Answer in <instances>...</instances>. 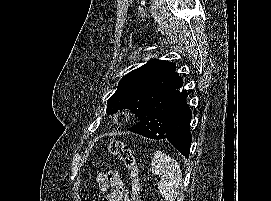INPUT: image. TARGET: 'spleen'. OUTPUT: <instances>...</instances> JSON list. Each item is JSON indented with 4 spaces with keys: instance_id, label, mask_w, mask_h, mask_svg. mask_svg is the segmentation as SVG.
I'll list each match as a JSON object with an SVG mask.
<instances>
[{
    "instance_id": "obj_1",
    "label": "spleen",
    "mask_w": 271,
    "mask_h": 201,
    "mask_svg": "<svg viewBox=\"0 0 271 201\" xmlns=\"http://www.w3.org/2000/svg\"><path fill=\"white\" fill-rule=\"evenodd\" d=\"M150 170L160 176L158 190L166 201H175L182 187V173L178 162L157 150L154 152Z\"/></svg>"
}]
</instances>
